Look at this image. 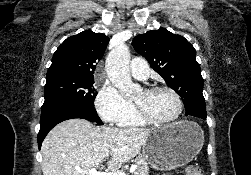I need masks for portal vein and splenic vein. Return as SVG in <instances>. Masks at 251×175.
Wrapping results in <instances>:
<instances>
[{
	"mask_svg": "<svg viewBox=\"0 0 251 175\" xmlns=\"http://www.w3.org/2000/svg\"><path fill=\"white\" fill-rule=\"evenodd\" d=\"M137 165H131L129 171L133 173L135 171ZM79 173H85V175H127L125 171H116V169H111V171H97L96 167L93 169H89V171H83V169H76Z\"/></svg>",
	"mask_w": 251,
	"mask_h": 175,
	"instance_id": "1",
	"label": "portal vein and splenic vein"
}]
</instances>
